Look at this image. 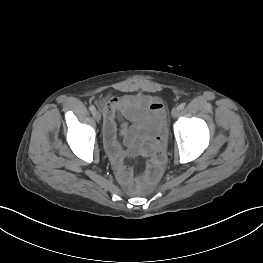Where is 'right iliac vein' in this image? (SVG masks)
<instances>
[{"instance_id":"obj_1","label":"right iliac vein","mask_w":263,"mask_h":263,"mask_svg":"<svg viewBox=\"0 0 263 263\" xmlns=\"http://www.w3.org/2000/svg\"><path fill=\"white\" fill-rule=\"evenodd\" d=\"M94 118H95L96 121H100V120H101V114H100V112L95 111V113H94Z\"/></svg>"}]
</instances>
